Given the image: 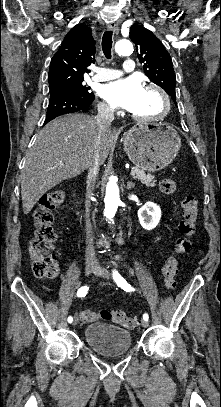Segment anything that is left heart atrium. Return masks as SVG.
<instances>
[{
    "label": "left heart atrium",
    "mask_w": 221,
    "mask_h": 407,
    "mask_svg": "<svg viewBox=\"0 0 221 407\" xmlns=\"http://www.w3.org/2000/svg\"><path fill=\"white\" fill-rule=\"evenodd\" d=\"M143 90L140 80L132 76L104 85L101 95L116 107L132 110Z\"/></svg>",
    "instance_id": "39dd6f15"
}]
</instances>
